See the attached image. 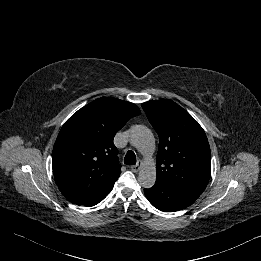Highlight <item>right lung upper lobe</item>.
Masks as SVG:
<instances>
[{"instance_id": "obj_1", "label": "right lung upper lobe", "mask_w": 261, "mask_h": 261, "mask_svg": "<svg viewBox=\"0 0 261 261\" xmlns=\"http://www.w3.org/2000/svg\"><path fill=\"white\" fill-rule=\"evenodd\" d=\"M140 113L133 103L101 97L66 121L54 144L52 168L69 201L90 206L110 193L121 173L114 135Z\"/></svg>"}]
</instances>
